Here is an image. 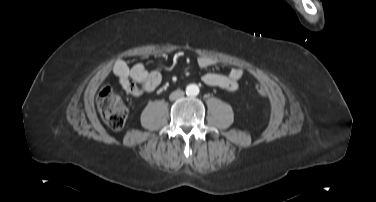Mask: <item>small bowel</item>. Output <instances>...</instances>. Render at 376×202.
I'll return each mask as SVG.
<instances>
[{"label": "small bowel", "mask_w": 376, "mask_h": 202, "mask_svg": "<svg viewBox=\"0 0 376 202\" xmlns=\"http://www.w3.org/2000/svg\"><path fill=\"white\" fill-rule=\"evenodd\" d=\"M225 62L209 56L198 58V65L201 68L215 67ZM113 73L121 88L133 97H139L145 92L154 91L162 81L161 72L149 70L143 64L129 66L128 63L119 59L113 66ZM243 70L240 67H232L227 74L209 72L202 76V81L213 87L234 91L242 78Z\"/></svg>", "instance_id": "c3829d8e"}]
</instances>
